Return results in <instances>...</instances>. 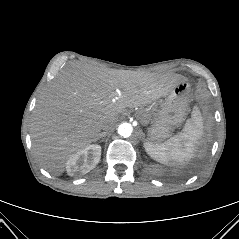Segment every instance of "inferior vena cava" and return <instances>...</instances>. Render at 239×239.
Returning a JSON list of instances; mask_svg holds the SVG:
<instances>
[{
    "label": "inferior vena cava",
    "mask_w": 239,
    "mask_h": 239,
    "mask_svg": "<svg viewBox=\"0 0 239 239\" xmlns=\"http://www.w3.org/2000/svg\"><path fill=\"white\" fill-rule=\"evenodd\" d=\"M113 125H114V121H105L102 123L101 129L107 131L110 128H112Z\"/></svg>",
    "instance_id": "inferior-vena-cava-1"
}]
</instances>
